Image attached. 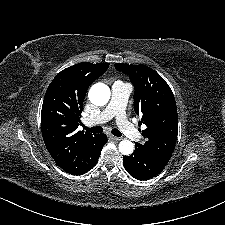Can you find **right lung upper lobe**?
<instances>
[{
	"label": "right lung upper lobe",
	"mask_w": 225,
	"mask_h": 225,
	"mask_svg": "<svg viewBox=\"0 0 225 225\" xmlns=\"http://www.w3.org/2000/svg\"><path fill=\"white\" fill-rule=\"evenodd\" d=\"M108 67L109 63H78L58 73L46 91L41 111L43 140L57 165L69 174L86 173L101 151L100 135L77 128L88 87Z\"/></svg>",
	"instance_id": "obj_1"
}]
</instances>
